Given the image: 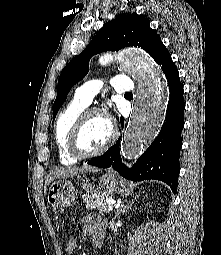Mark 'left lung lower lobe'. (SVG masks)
<instances>
[{
	"instance_id": "left-lung-lower-lobe-1",
	"label": "left lung lower lobe",
	"mask_w": 221,
	"mask_h": 255,
	"mask_svg": "<svg viewBox=\"0 0 221 255\" xmlns=\"http://www.w3.org/2000/svg\"><path fill=\"white\" fill-rule=\"evenodd\" d=\"M155 61L161 66L170 91L166 118L160 133L132 169H128L122 164L119 150L120 138L106 153L91 159L88 164L101 168L112 166L120 175L132 181L161 180L168 184L175 194L180 170L181 131L184 127L183 85L180 82L178 70L165 46L159 51ZM121 125L122 127L124 125L122 118Z\"/></svg>"
}]
</instances>
